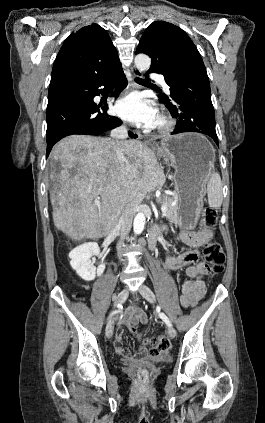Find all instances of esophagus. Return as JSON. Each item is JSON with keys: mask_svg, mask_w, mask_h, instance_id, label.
Instances as JSON below:
<instances>
[{"mask_svg": "<svg viewBox=\"0 0 265 423\" xmlns=\"http://www.w3.org/2000/svg\"><path fill=\"white\" fill-rule=\"evenodd\" d=\"M141 75L142 74H141V72L138 69L132 68V77L133 78L140 77Z\"/></svg>", "mask_w": 265, "mask_h": 423, "instance_id": "1", "label": "esophagus"}]
</instances>
